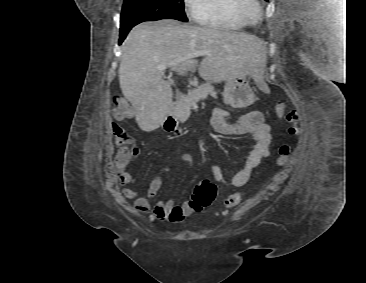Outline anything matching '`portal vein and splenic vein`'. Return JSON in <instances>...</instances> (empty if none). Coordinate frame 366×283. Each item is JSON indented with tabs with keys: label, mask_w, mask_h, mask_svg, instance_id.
I'll return each instance as SVG.
<instances>
[{
	"label": "portal vein and splenic vein",
	"mask_w": 366,
	"mask_h": 283,
	"mask_svg": "<svg viewBox=\"0 0 366 283\" xmlns=\"http://www.w3.org/2000/svg\"><path fill=\"white\" fill-rule=\"evenodd\" d=\"M209 54V51H207V50H202V51H197L194 55L195 56H203V55H208ZM177 62H179V61H174V62H171V63H169V64H161V65H158V69H160V70H165V69H167L169 66H171V65H173V64H175V63H177Z\"/></svg>",
	"instance_id": "portal-vein-and-splenic-vein-1"
}]
</instances>
